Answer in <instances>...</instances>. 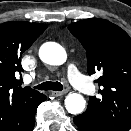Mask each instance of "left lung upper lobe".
Segmentation results:
<instances>
[{
	"label": "left lung upper lobe",
	"mask_w": 131,
	"mask_h": 131,
	"mask_svg": "<svg viewBox=\"0 0 131 131\" xmlns=\"http://www.w3.org/2000/svg\"><path fill=\"white\" fill-rule=\"evenodd\" d=\"M87 54L88 74L101 96L89 98L87 110L114 131L131 127V38L117 25L99 18L85 19L68 26Z\"/></svg>",
	"instance_id": "1"
}]
</instances>
